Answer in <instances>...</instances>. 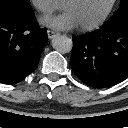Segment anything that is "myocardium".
<instances>
[{
    "label": "myocardium",
    "mask_w": 128,
    "mask_h": 128,
    "mask_svg": "<svg viewBox=\"0 0 128 128\" xmlns=\"http://www.w3.org/2000/svg\"><path fill=\"white\" fill-rule=\"evenodd\" d=\"M67 1H71V0H63L62 3H65ZM117 1L118 0H111L109 6L106 8L104 13L95 22L87 24V25H80L79 29L81 31H92V30L99 28L108 19V17L110 16V14L115 8Z\"/></svg>",
    "instance_id": "obj_1"
}]
</instances>
